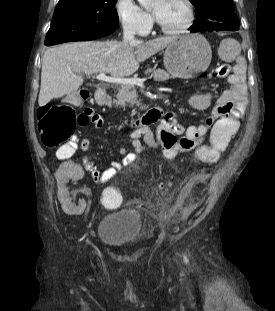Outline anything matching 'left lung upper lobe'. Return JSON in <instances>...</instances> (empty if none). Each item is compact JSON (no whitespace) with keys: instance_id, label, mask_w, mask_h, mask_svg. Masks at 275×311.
Here are the masks:
<instances>
[{"instance_id":"left-lung-upper-lobe-1","label":"left lung upper lobe","mask_w":275,"mask_h":311,"mask_svg":"<svg viewBox=\"0 0 275 311\" xmlns=\"http://www.w3.org/2000/svg\"><path fill=\"white\" fill-rule=\"evenodd\" d=\"M196 8L197 19L192 29L196 31H237L239 21L232 0H190Z\"/></svg>"}]
</instances>
